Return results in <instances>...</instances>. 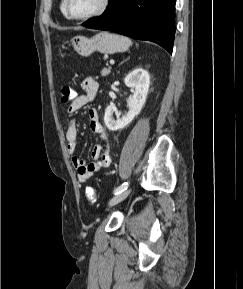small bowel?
Wrapping results in <instances>:
<instances>
[{
    "mask_svg": "<svg viewBox=\"0 0 243 289\" xmlns=\"http://www.w3.org/2000/svg\"><path fill=\"white\" fill-rule=\"evenodd\" d=\"M81 86L85 94L74 97L72 102L67 108L69 114H74L88 103L94 100L97 95L99 85L91 77H86ZM90 127L99 136V143L94 147L92 151L91 163H87L84 159L79 157H72L71 163L75 170L77 171L78 181L81 183L86 182L95 173L107 168L111 163L110 156V142L108 134L99 120L98 112L95 108H91L88 111ZM77 136L78 128L74 120L70 121L69 126L66 131V141H67V152L69 154H74L77 149Z\"/></svg>",
    "mask_w": 243,
    "mask_h": 289,
    "instance_id": "small-bowel-1",
    "label": "small bowel"
}]
</instances>
